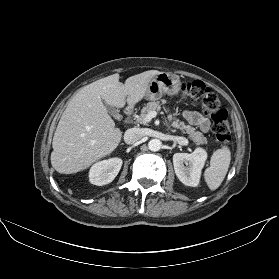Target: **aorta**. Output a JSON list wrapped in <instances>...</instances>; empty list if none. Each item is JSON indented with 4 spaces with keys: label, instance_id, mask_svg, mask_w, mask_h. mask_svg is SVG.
<instances>
[{
    "label": "aorta",
    "instance_id": "762f6f07",
    "mask_svg": "<svg viewBox=\"0 0 279 279\" xmlns=\"http://www.w3.org/2000/svg\"><path fill=\"white\" fill-rule=\"evenodd\" d=\"M162 142L159 139H151L148 142V148L151 151H159L161 149Z\"/></svg>",
    "mask_w": 279,
    "mask_h": 279
}]
</instances>
